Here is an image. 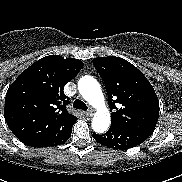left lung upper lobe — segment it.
Here are the masks:
<instances>
[{
    "instance_id": "5c2ea615",
    "label": "left lung upper lobe",
    "mask_w": 182,
    "mask_h": 182,
    "mask_svg": "<svg viewBox=\"0 0 182 182\" xmlns=\"http://www.w3.org/2000/svg\"><path fill=\"white\" fill-rule=\"evenodd\" d=\"M93 65L103 79L111 115V126L151 134L159 117V100L154 88L130 62L114 57H98Z\"/></svg>"
}]
</instances>
